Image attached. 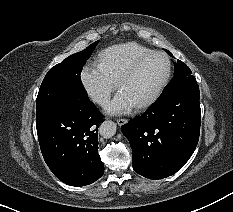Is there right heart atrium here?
<instances>
[{
    "mask_svg": "<svg viewBox=\"0 0 233 212\" xmlns=\"http://www.w3.org/2000/svg\"><path fill=\"white\" fill-rule=\"evenodd\" d=\"M80 82L87 96L98 105H105L116 83L98 64H87L80 72Z\"/></svg>",
    "mask_w": 233,
    "mask_h": 212,
    "instance_id": "right-heart-atrium-1",
    "label": "right heart atrium"
}]
</instances>
